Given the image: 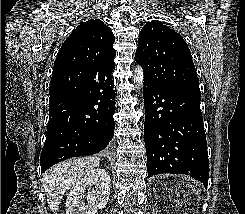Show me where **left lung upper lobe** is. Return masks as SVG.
<instances>
[{"label": "left lung upper lobe", "mask_w": 245, "mask_h": 214, "mask_svg": "<svg viewBox=\"0 0 245 214\" xmlns=\"http://www.w3.org/2000/svg\"><path fill=\"white\" fill-rule=\"evenodd\" d=\"M144 80L169 89L200 92L199 79L183 37L159 21L142 28L135 53Z\"/></svg>", "instance_id": "obj_1"}]
</instances>
